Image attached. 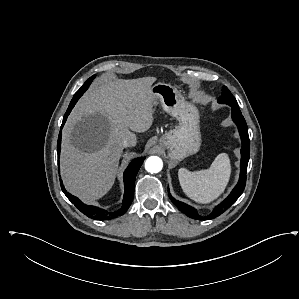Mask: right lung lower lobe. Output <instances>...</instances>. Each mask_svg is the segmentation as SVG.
<instances>
[{
    "mask_svg": "<svg viewBox=\"0 0 299 299\" xmlns=\"http://www.w3.org/2000/svg\"><path fill=\"white\" fill-rule=\"evenodd\" d=\"M80 97H73V99L70 102V105L63 117V122H62V126L61 129L67 119V116L70 114L72 108L74 107V105L76 104V102L78 101ZM61 136H62V132L60 131L59 133V137H58V143H57V153H58V161H59V156H60V150H61ZM145 157H141L138 159L133 160L129 166L127 167V169L124 172V187H125V192H124V198H123V206L121 209H119L118 211L115 212H108L106 210L100 209L98 207L95 206H89V205H85L84 203H82L77 197H74L73 195H71L70 193H68L64 186L63 183L61 181L60 185H61V189L63 191V193L67 196V198L86 216L95 219V220H109V219H113L116 217H119L121 215H123L127 209L129 208V206L131 205L132 201H133V197H134V186H135V178L136 175L144 161ZM59 167V165H58Z\"/></svg>",
    "mask_w": 299,
    "mask_h": 299,
    "instance_id": "right-lung-lower-lobe-1",
    "label": "right lung lower lobe"
}]
</instances>
